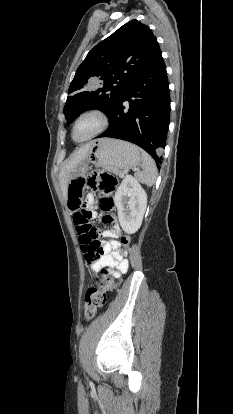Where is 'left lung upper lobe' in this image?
<instances>
[{"mask_svg":"<svg viewBox=\"0 0 233 414\" xmlns=\"http://www.w3.org/2000/svg\"><path fill=\"white\" fill-rule=\"evenodd\" d=\"M160 52L151 29L132 20L97 44L78 67L68 90L64 114L71 123L81 112L99 109L109 115L122 95ZM100 87L94 88V82Z\"/></svg>","mask_w":233,"mask_h":414,"instance_id":"5c2ea615","label":"left lung upper lobe"}]
</instances>
